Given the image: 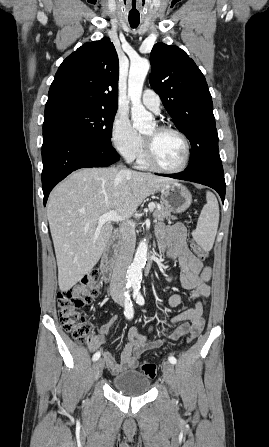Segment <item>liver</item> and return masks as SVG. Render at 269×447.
Returning a JSON list of instances; mask_svg holds the SVG:
<instances>
[{"mask_svg":"<svg viewBox=\"0 0 269 447\" xmlns=\"http://www.w3.org/2000/svg\"><path fill=\"white\" fill-rule=\"evenodd\" d=\"M173 184L143 172L123 174L117 168H82L50 194L47 220L55 247L58 283L68 291L99 261L113 225L98 224L114 210L131 218L145 198Z\"/></svg>","mask_w":269,"mask_h":447,"instance_id":"1","label":"liver"}]
</instances>
